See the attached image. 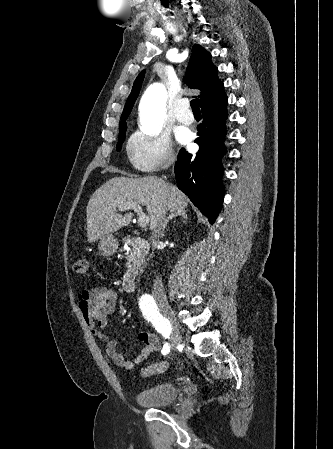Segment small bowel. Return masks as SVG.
Here are the masks:
<instances>
[{
  "label": "small bowel",
  "instance_id": "obj_1",
  "mask_svg": "<svg viewBox=\"0 0 333 449\" xmlns=\"http://www.w3.org/2000/svg\"><path fill=\"white\" fill-rule=\"evenodd\" d=\"M118 301L117 293L108 287H96L85 290L78 297V308L86 324L93 330V333L103 339L105 351L108 357L118 367L131 370L160 345L159 338L150 332L142 331L137 335V340L142 343L139 355L128 360L119 352L116 341L104 335L103 330L112 318Z\"/></svg>",
  "mask_w": 333,
  "mask_h": 449
}]
</instances>
